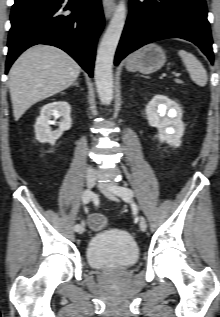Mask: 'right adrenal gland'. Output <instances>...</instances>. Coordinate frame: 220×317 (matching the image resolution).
I'll use <instances>...</instances> for the list:
<instances>
[{
	"instance_id": "1",
	"label": "right adrenal gland",
	"mask_w": 220,
	"mask_h": 317,
	"mask_svg": "<svg viewBox=\"0 0 220 317\" xmlns=\"http://www.w3.org/2000/svg\"><path fill=\"white\" fill-rule=\"evenodd\" d=\"M73 85L79 87L78 81H76Z\"/></svg>"
}]
</instances>
